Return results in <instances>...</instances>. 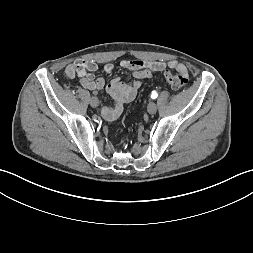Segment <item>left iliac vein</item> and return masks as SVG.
<instances>
[{
    "instance_id": "left-iliac-vein-1",
    "label": "left iliac vein",
    "mask_w": 253,
    "mask_h": 253,
    "mask_svg": "<svg viewBox=\"0 0 253 253\" xmlns=\"http://www.w3.org/2000/svg\"><path fill=\"white\" fill-rule=\"evenodd\" d=\"M147 111L149 114H155L157 111V105L154 102H150L147 106Z\"/></svg>"
}]
</instances>
